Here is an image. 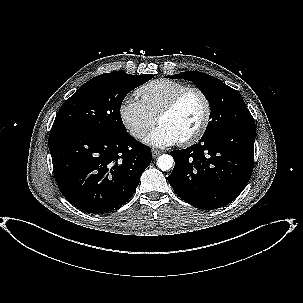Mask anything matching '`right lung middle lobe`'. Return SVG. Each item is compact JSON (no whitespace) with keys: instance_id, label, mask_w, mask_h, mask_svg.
Returning <instances> with one entry per match:
<instances>
[{"instance_id":"obj_1","label":"right lung middle lobe","mask_w":303,"mask_h":303,"mask_svg":"<svg viewBox=\"0 0 303 303\" xmlns=\"http://www.w3.org/2000/svg\"><path fill=\"white\" fill-rule=\"evenodd\" d=\"M154 75L104 73L83 84L61 106L50 133L90 131L103 134L126 132L120 107L126 95Z\"/></svg>"}]
</instances>
